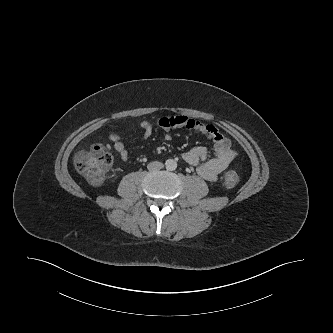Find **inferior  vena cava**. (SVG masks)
Returning a JSON list of instances; mask_svg holds the SVG:
<instances>
[{"mask_svg":"<svg viewBox=\"0 0 333 333\" xmlns=\"http://www.w3.org/2000/svg\"><path fill=\"white\" fill-rule=\"evenodd\" d=\"M163 167H164L163 163L158 162V161L150 162L147 165V168L149 171H158V170L162 169Z\"/></svg>","mask_w":333,"mask_h":333,"instance_id":"1","label":"inferior vena cava"}]
</instances>
